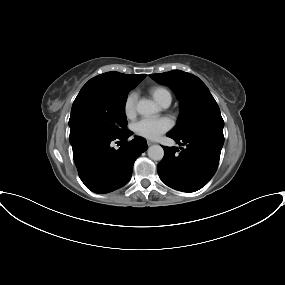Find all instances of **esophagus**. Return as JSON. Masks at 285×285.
Returning a JSON list of instances; mask_svg holds the SVG:
<instances>
[{
  "label": "esophagus",
  "instance_id": "esophagus-1",
  "mask_svg": "<svg viewBox=\"0 0 285 285\" xmlns=\"http://www.w3.org/2000/svg\"><path fill=\"white\" fill-rule=\"evenodd\" d=\"M147 144H148V146H151V145H153V144H154V142H153V141H151V140H147Z\"/></svg>",
  "mask_w": 285,
  "mask_h": 285
}]
</instances>
